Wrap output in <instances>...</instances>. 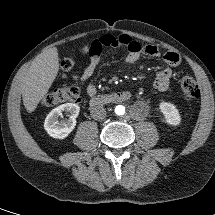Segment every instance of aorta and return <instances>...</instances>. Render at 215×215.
<instances>
[{"mask_svg": "<svg viewBox=\"0 0 215 215\" xmlns=\"http://www.w3.org/2000/svg\"><path fill=\"white\" fill-rule=\"evenodd\" d=\"M115 113L117 115H123L125 113V107L122 106V105H118L116 108H115Z\"/></svg>", "mask_w": 215, "mask_h": 215, "instance_id": "aorta-1", "label": "aorta"}]
</instances>
